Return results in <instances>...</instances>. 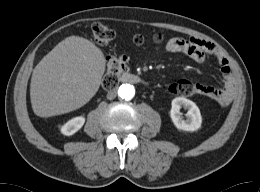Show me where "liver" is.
I'll use <instances>...</instances> for the list:
<instances>
[{"label": "liver", "mask_w": 260, "mask_h": 192, "mask_svg": "<svg viewBox=\"0 0 260 192\" xmlns=\"http://www.w3.org/2000/svg\"><path fill=\"white\" fill-rule=\"evenodd\" d=\"M105 66L104 54L94 43L80 36L65 38L33 70L34 113L51 117L81 108L97 93Z\"/></svg>", "instance_id": "obj_1"}]
</instances>
